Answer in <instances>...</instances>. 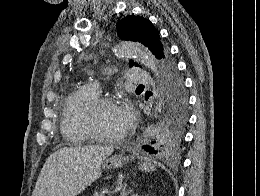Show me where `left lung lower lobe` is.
I'll return each mask as SVG.
<instances>
[{
	"mask_svg": "<svg viewBox=\"0 0 260 196\" xmlns=\"http://www.w3.org/2000/svg\"><path fill=\"white\" fill-rule=\"evenodd\" d=\"M143 149H144L145 151L150 152L151 154L154 153L153 147H151V146L145 145V146H143Z\"/></svg>",
	"mask_w": 260,
	"mask_h": 196,
	"instance_id": "1",
	"label": "left lung lower lobe"
}]
</instances>
